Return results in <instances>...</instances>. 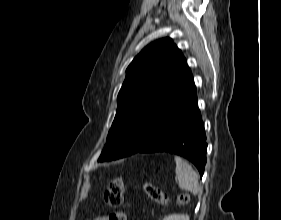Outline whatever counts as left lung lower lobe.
I'll return each mask as SVG.
<instances>
[{"label": "left lung lower lobe", "mask_w": 281, "mask_h": 220, "mask_svg": "<svg viewBox=\"0 0 281 220\" xmlns=\"http://www.w3.org/2000/svg\"><path fill=\"white\" fill-rule=\"evenodd\" d=\"M205 140L204 123L192 79L166 112L151 141L137 152H169L183 156L197 167L202 177L206 164Z\"/></svg>", "instance_id": "0a47b994"}]
</instances>
